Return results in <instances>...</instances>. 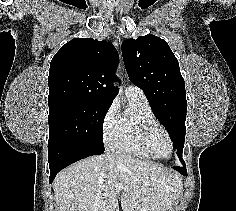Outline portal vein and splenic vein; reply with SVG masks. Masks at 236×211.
Wrapping results in <instances>:
<instances>
[{"label":"portal vein and splenic vein","instance_id":"portal-vein-and-splenic-vein-1","mask_svg":"<svg viewBox=\"0 0 236 211\" xmlns=\"http://www.w3.org/2000/svg\"><path fill=\"white\" fill-rule=\"evenodd\" d=\"M122 188H123L122 184H116L115 185V189H116L117 192H119Z\"/></svg>","mask_w":236,"mask_h":211}]
</instances>
